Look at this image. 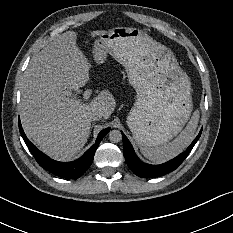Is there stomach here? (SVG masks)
<instances>
[{
    "mask_svg": "<svg viewBox=\"0 0 233 233\" xmlns=\"http://www.w3.org/2000/svg\"><path fill=\"white\" fill-rule=\"evenodd\" d=\"M103 64L111 55L126 71L136 100L127 125L141 148H156L177 136L190 118L191 81L173 52L138 28L103 31L92 49Z\"/></svg>",
    "mask_w": 233,
    "mask_h": 233,
    "instance_id": "0dacf381",
    "label": "stomach"
}]
</instances>
